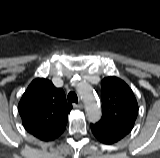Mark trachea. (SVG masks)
<instances>
[{
  "label": "trachea",
  "mask_w": 160,
  "mask_h": 158,
  "mask_svg": "<svg viewBox=\"0 0 160 158\" xmlns=\"http://www.w3.org/2000/svg\"><path fill=\"white\" fill-rule=\"evenodd\" d=\"M67 98H68V101H69V102H75V103L78 102V97H77V95H76L75 92H69Z\"/></svg>",
  "instance_id": "obj_1"
}]
</instances>
